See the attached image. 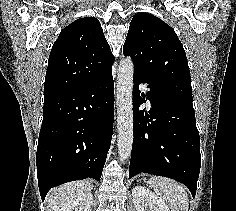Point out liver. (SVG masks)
<instances>
[{
    "label": "liver",
    "mask_w": 236,
    "mask_h": 211,
    "mask_svg": "<svg viewBox=\"0 0 236 211\" xmlns=\"http://www.w3.org/2000/svg\"><path fill=\"white\" fill-rule=\"evenodd\" d=\"M88 181H75L52 188L46 196L48 211H61L71 200L91 190Z\"/></svg>",
    "instance_id": "1"
}]
</instances>
